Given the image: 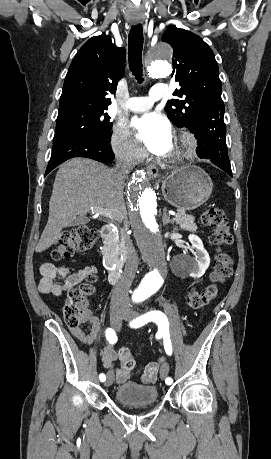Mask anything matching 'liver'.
I'll list each match as a JSON object with an SVG mask.
<instances>
[{"label": "liver", "instance_id": "liver-1", "mask_svg": "<svg viewBox=\"0 0 271 459\" xmlns=\"http://www.w3.org/2000/svg\"><path fill=\"white\" fill-rule=\"evenodd\" d=\"M124 180L115 170L89 158H72L60 166L49 202V218L36 245L48 249L73 220L85 218L91 208L125 210Z\"/></svg>", "mask_w": 271, "mask_h": 459}]
</instances>
